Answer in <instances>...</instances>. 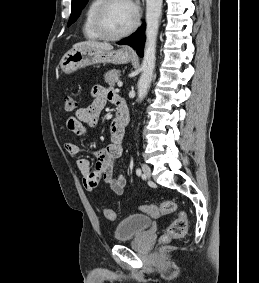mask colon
<instances>
[{"label": "colon", "mask_w": 259, "mask_h": 283, "mask_svg": "<svg viewBox=\"0 0 259 283\" xmlns=\"http://www.w3.org/2000/svg\"><path fill=\"white\" fill-rule=\"evenodd\" d=\"M66 111H74L77 108V101L72 95H66L64 98ZM140 210L152 217H160L166 214H176L175 219L168 225L166 232L161 236L160 241L167 243L174 239L182 238L187 231L188 221L184 211L178 208L173 200H165L159 204H146L140 206ZM104 216L113 221L116 215L112 209L105 208Z\"/></svg>", "instance_id": "obj_1"}]
</instances>
